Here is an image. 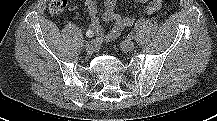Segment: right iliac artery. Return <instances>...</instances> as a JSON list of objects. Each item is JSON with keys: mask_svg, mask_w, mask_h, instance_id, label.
Segmentation results:
<instances>
[{"mask_svg": "<svg viewBox=\"0 0 217 121\" xmlns=\"http://www.w3.org/2000/svg\"><path fill=\"white\" fill-rule=\"evenodd\" d=\"M90 43H94L95 45L99 44V40L98 39H91L89 40Z\"/></svg>", "mask_w": 217, "mask_h": 121, "instance_id": "right-iliac-artery-1", "label": "right iliac artery"}]
</instances>
